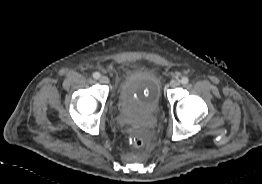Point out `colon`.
<instances>
[{"mask_svg":"<svg viewBox=\"0 0 262 184\" xmlns=\"http://www.w3.org/2000/svg\"><path fill=\"white\" fill-rule=\"evenodd\" d=\"M132 143L136 146V147H142L145 144V141L142 137L140 136H135L132 138Z\"/></svg>","mask_w":262,"mask_h":184,"instance_id":"colon-1","label":"colon"}]
</instances>
